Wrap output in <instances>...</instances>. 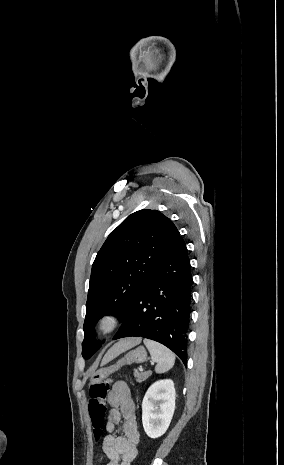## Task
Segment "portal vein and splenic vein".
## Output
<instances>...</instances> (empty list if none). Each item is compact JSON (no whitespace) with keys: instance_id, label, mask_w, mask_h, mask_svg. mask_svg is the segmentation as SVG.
Wrapping results in <instances>:
<instances>
[{"instance_id":"portal-vein-and-splenic-vein-1","label":"portal vein and splenic vein","mask_w":284,"mask_h":465,"mask_svg":"<svg viewBox=\"0 0 284 465\" xmlns=\"http://www.w3.org/2000/svg\"><path fill=\"white\" fill-rule=\"evenodd\" d=\"M151 365H154V363H151ZM139 371H143V369H139Z\"/></svg>"}]
</instances>
